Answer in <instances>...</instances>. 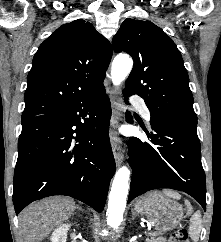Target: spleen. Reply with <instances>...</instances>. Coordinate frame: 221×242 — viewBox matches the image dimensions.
<instances>
[{
  "mask_svg": "<svg viewBox=\"0 0 221 242\" xmlns=\"http://www.w3.org/2000/svg\"><path fill=\"white\" fill-rule=\"evenodd\" d=\"M163 194L173 199H181V195L178 192L170 189L163 190ZM185 205L187 207V215H190L193 212V207L191 206L188 200H185ZM200 231H201V215L199 212H196L192 215L191 224L189 226V234L191 239L194 242L198 241Z\"/></svg>",
  "mask_w": 221,
  "mask_h": 242,
  "instance_id": "1",
  "label": "spleen"
}]
</instances>
